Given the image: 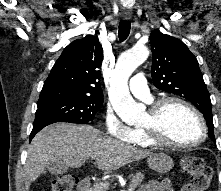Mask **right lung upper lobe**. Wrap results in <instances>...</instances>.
<instances>
[{
    "instance_id": "cb5924a9",
    "label": "right lung upper lobe",
    "mask_w": 221,
    "mask_h": 191,
    "mask_svg": "<svg viewBox=\"0 0 221 191\" xmlns=\"http://www.w3.org/2000/svg\"><path fill=\"white\" fill-rule=\"evenodd\" d=\"M103 49L97 36L69 44L45 80L38 102L59 99H103L100 66Z\"/></svg>"
}]
</instances>
